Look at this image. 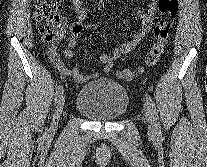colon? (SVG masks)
<instances>
[{"label": "colon", "mask_w": 207, "mask_h": 167, "mask_svg": "<svg viewBox=\"0 0 207 167\" xmlns=\"http://www.w3.org/2000/svg\"><path fill=\"white\" fill-rule=\"evenodd\" d=\"M160 12L165 16L154 28L155 43L145 55L143 66L136 69H122L118 76L123 80H132L138 77L144 70L155 66L161 58L170 30L169 17L178 11L177 0H158ZM35 18L39 25V32L43 41L51 46L61 40L64 29L61 16V0H38Z\"/></svg>", "instance_id": "colon-1"}]
</instances>
